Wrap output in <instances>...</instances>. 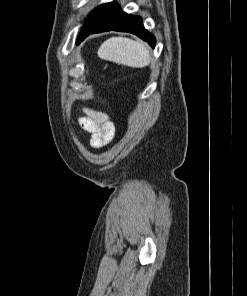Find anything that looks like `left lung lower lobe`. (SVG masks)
Wrapping results in <instances>:
<instances>
[{
  "label": "left lung lower lobe",
  "mask_w": 247,
  "mask_h": 296,
  "mask_svg": "<svg viewBox=\"0 0 247 296\" xmlns=\"http://www.w3.org/2000/svg\"><path fill=\"white\" fill-rule=\"evenodd\" d=\"M111 30L133 33L148 42L153 48L156 43L155 37L144 28L141 17L127 14L116 3L110 2L100 5L89 14L84 21L76 44H80L85 37L92 33Z\"/></svg>",
  "instance_id": "left-lung-lower-lobe-1"
}]
</instances>
